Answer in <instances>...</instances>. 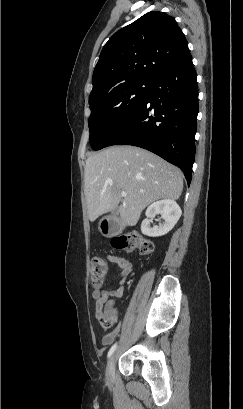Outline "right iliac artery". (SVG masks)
I'll list each match as a JSON object with an SVG mask.
<instances>
[{"mask_svg": "<svg viewBox=\"0 0 243 409\" xmlns=\"http://www.w3.org/2000/svg\"><path fill=\"white\" fill-rule=\"evenodd\" d=\"M116 347H117V343H115V344L110 348V350H109V352H108V355H107L108 358L114 353V351L116 350Z\"/></svg>", "mask_w": 243, "mask_h": 409, "instance_id": "right-iliac-artery-1", "label": "right iliac artery"}]
</instances>
